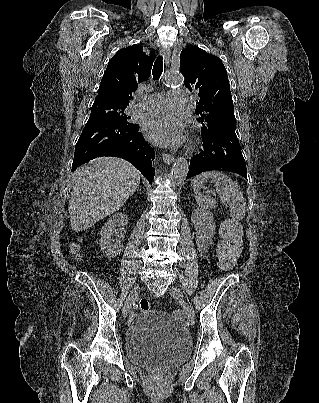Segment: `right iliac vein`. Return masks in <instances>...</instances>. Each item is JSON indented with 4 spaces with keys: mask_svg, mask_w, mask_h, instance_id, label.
<instances>
[{
    "mask_svg": "<svg viewBox=\"0 0 319 403\" xmlns=\"http://www.w3.org/2000/svg\"><path fill=\"white\" fill-rule=\"evenodd\" d=\"M139 293H140V287L137 286L129 294L123 307V313L125 316H127L130 313L132 306L134 305L135 301L139 296Z\"/></svg>",
    "mask_w": 319,
    "mask_h": 403,
    "instance_id": "right-iliac-vein-1",
    "label": "right iliac vein"
}]
</instances>
